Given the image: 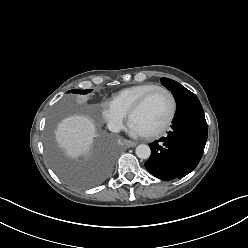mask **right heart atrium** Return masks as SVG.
Returning <instances> with one entry per match:
<instances>
[{
	"label": "right heart atrium",
	"instance_id": "d8ad5b80",
	"mask_svg": "<svg viewBox=\"0 0 248 248\" xmlns=\"http://www.w3.org/2000/svg\"><path fill=\"white\" fill-rule=\"evenodd\" d=\"M102 117L112 130L122 129L126 114L112 102H106L102 107Z\"/></svg>",
	"mask_w": 248,
	"mask_h": 248
}]
</instances>
